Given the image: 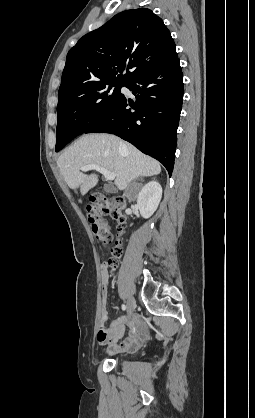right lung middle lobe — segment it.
I'll return each mask as SVG.
<instances>
[{"label":"right lung middle lobe","instance_id":"dd1d6c3e","mask_svg":"<svg viewBox=\"0 0 255 418\" xmlns=\"http://www.w3.org/2000/svg\"><path fill=\"white\" fill-rule=\"evenodd\" d=\"M119 82H102L59 94L55 151L107 116L121 97ZM115 87L114 89H112Z\"/></svg>","mask_w":255,"mask_h":418}]
</instances>
